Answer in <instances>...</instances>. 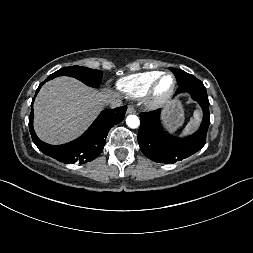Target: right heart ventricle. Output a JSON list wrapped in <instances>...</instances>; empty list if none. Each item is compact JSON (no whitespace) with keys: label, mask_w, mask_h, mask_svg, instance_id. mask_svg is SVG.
I'll list each match as a JSON object with an SVG mask.
<instances>
[{"label":"right heart ventricle","mask_w":253,"mask_h":253,"mask_svg":"<svg viewBox=\"0 0 253 253\" xmlns=\"http://www.w3.org/2000/svg\"><path fill=\"white\" fill-rule=\"evenodd\" d=\"M160 73V71H148L131 74L121 78L117 82V87L128 97L139 98L145 95L151 83Z\"/></svg>","instance_id":"obj_1"}]
</instances>
